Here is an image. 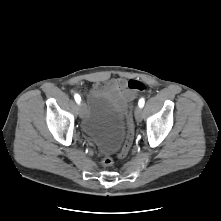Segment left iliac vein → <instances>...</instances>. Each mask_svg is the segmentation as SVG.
Returning a JSON list of instances; mask_svg holds the SVG:
<instances>
[{
	"label": "left iliac vein",
	"instance_id": "4c4485c4",
	"mask_svg": "<svg viewBox=\"0 0 221 221\" xmlns=\"http://www.w3.org/2000/svg\"><path fill=\"white\" fill-rule=\"evenodd\" d=\"M135 118L137 121H141L143 118V110L141 107H136L135 109Z\"/></svg>",
	"mask_w": 221,
	"mask_h": 221
}]
</instances>
